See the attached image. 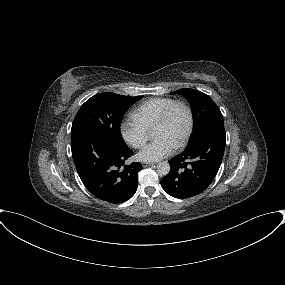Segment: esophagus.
<instances>
[{
  "mask_svg": "<svg viewBox=\"0 0 285 285\" xmlns=\"http://www.w3.org/2000/svg\"><path fill=\"white\" fill-rule=\"evenodd\" d=\"M153 163H149V162H142V166L143 167H148L150 165H152Z\"/></svg>",
  "mask_w": 285,
  "mask_h": 285,
  "instance_id": "34e87169",
  "label": "esophagus"
}]
</instances>
